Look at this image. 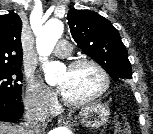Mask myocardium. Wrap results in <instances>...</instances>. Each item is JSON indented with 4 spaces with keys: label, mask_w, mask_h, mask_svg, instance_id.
Wrapping results in <instances>:
<instances>
[{
    "label": "myocardium",
    "mask_w": 153,
    "mask_h": 134,
    "mask_svg": "<svg viewBox=\"0 0 153 134\" xmlns=\"http://www.w3.org/2000/svg\"><path fill=\"white\" fill-rule=\"evenodd\" d=\"M85 64L93 66L98 71V73L100 74V76L102 78V86L94 94H92L86 98L80 99V100H71V99L66 98L62 94V101L68 106L79 107V106H83L85 104H88V103L98 99L103 94H105L110 87V76H109L108 72L103 67V65L95 59L85 57V58H79V59L73 60L72 62L69 63L67 69L73 70V69H75L81 65H85Z\"/></svg>",
    "instance_id": "1"
}]
</instances>
